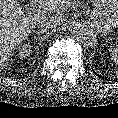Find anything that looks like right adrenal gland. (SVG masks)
Masks as SVG:
<instances>
[{"label": "right adrenal gland", "instance_id": "obj_1", "mask_svg": "<svg viewBox=\"0 0 118 118\" xmlns=\"http://www.w3.org/2000/svg\"><path fill=\"white\" fill-rule=\"evenodd\" d=\"M41 34H42L41 32L37 31V32L35 33L34 39L36 40V39H37V36H40Z\"/></svg>", "mask_w": 118, "mask_h": 118}]
</instances>
